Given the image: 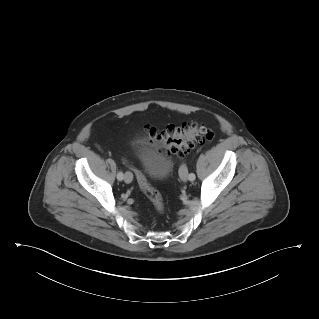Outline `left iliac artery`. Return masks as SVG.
Wrapping results in <instances>:
<instances>
[{"mask_svg":"<svg viewBox=\"0 0 319 319\" xmlns=\"http://www.w3.org/2000/svg\"><path fill=\"white\" fill-rule=\"evenodd\" d=\"M181 167H183V166H181ZM181 167H180V169H181ZM180 169H179V171H180ZM188 176H189V180H190V181H194L195 178H196V176H195L194 173H190Z\"/></svg>","mask_w":319,"mask_h":319,"instance_id":"44dca946","label":"left iliac artery"}]
</instances>
